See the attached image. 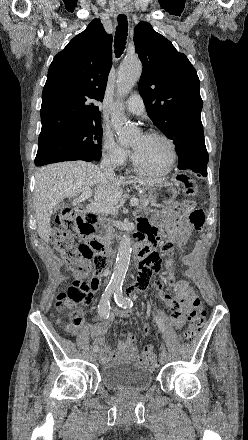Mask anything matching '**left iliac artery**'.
<instances>
[{
  "label": "left iliac artery",
  "mask_w": 248,
  "mask_h": 440,
  "mask_svg": "<svg viewBox=\"0 0 248 440\" xmlns=\"http://www.w3.org/2000/svg\"><path fill=\"white\" fill-rule=\"evenodd\" d=\"M114 298L117 305L121 308H130L133 306V302L130 298L123 295V291L121 287H117L114 290Z\"/></svg>",
  "instance_id": "44dca946"
}]
</instances>
